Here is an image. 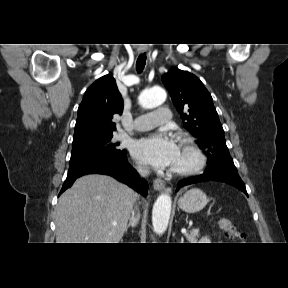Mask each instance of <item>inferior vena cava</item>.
<instances>
[{
  "mask_svg": "<svg viewBox=\"0 0 288 288\" xmlns=\"http://www.w3.org/2000/svg\"><path fill=\"white\" fill-rule=\"evenodd\" d=\"M137 171L142 177H147L150 173L147 166H137Z\"/></svg>",
  "mask_w": 288,
  "mask_h": 288,
  "instance_id": "602c4592",
  "label": "inferior vena cava"
}]
</instances>
